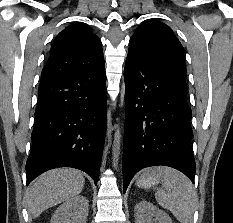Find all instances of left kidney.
I'll use <instances>...</instances> for the list:
<instances>
[{"mask_svg":"<svg viewBox=\"0 0 233 223\" xmlns=\"http://www.w3.org/2000/svg\"><path fill=\"white\" fill-rule=\"evenodd\" d=\"M135 223H173L166 211L159 209L157 205H153L150 201H139L134 205Z\"/></svg>","mask_w":233,"mask_h":223,"instance_id":"left-kidney-1","label":"left kidney"}]
</instances>
